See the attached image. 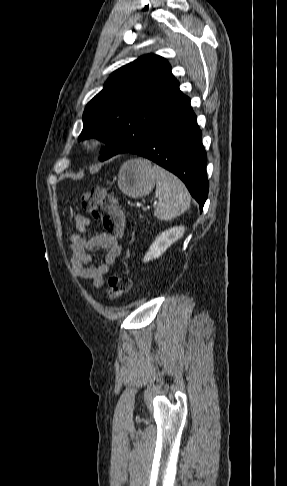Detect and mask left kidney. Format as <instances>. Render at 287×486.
<instances>
[{"label": "left kidney", "instance_id": "1", "mask_svg": "<svg viewBox=\"0 0 287 486\" xmlns=\"http://www.w3.org/2000/svg\"><path fill=\"white\" fill-rule=\"evenodd\" d=\"M184 232L185 228L182 226H176L162 232L150 246L143 261L149 262L152 259L159 258L173 243L183 236Z\"/></svg>", "mask_w": 287, "mask_h": 486}]
</instances>
